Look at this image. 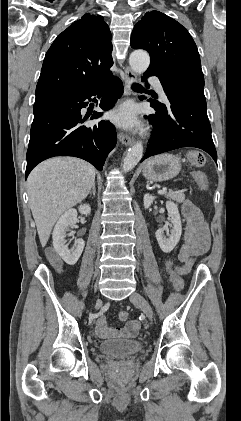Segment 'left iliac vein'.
Segmentation results:
<instances>
[{
    "instance_id": "left-iliac-vein-1",
    "label": "left iliac vein",
    "mask_w": 241,
    "mask_h": 421,
    "mask_svg": "<svg viewBox=\"0 0 241 421\" xmlns=\"http://www.w3.org/2000/svg\"><path fill=\"white\" fill-rule=\"evenodd\" d=\"M130 301L141 308L145 315L149 318H153V311L147 300L138 292H134L130 296Z\"/></svg>"
}]
</instances>
